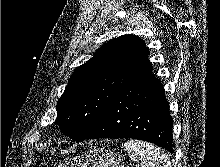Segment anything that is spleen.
I'll return each instance as SVG.
<instances>
[{
    "instance_id": "obj_1",
    "label": "spleen",
    "mask_w": 220,
    "mask_h": 167,
    "mask_svg": "<svg viewBox=\"0 0 220 167\" xmlns=\"http://www.w3.org/2000/svg\"><path fill=\"white\" fill-rule=\"evenodd\" d=\"M124 148L131 160L137 162V167H172L168 154L153 144L128 140Z\"/></svg>"
}]
</instances>
